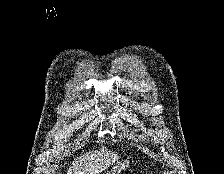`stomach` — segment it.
<instances>
[{"mask_svg": "<svg viewBox=\"0 0 224 174\" xmlns=\"http://www.w3.org/2000/svg\"><path fill=\"white\" fill-rule=\"evenodd\" d=\"M125 167H127L126 165L124 164H121V165H117L113 168V170H111L110 172H108L107 174H117L116 172H120L122 169H125Z\"/></svg>", "mask_w": 224, "mask_h": 174, "instance_id": "stomach-1", "label": "stomach"}]
</instances>
